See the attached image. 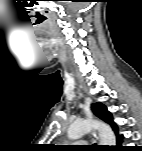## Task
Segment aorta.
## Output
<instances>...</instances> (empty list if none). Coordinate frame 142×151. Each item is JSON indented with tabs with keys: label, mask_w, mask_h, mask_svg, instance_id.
<instances>
[{
	"label": "aorta",
	"mask_w": 142,
	"mask_h": 151,
	"mask_svg": "<svg viewBox=\"0 0 142 151\" xmlns=\"http://www.w3.org/2000/svg\"><path fill=\"white\" fill-rule=\"evenodd\" d=\"M93 129L98 131L101 145H116V138L111 127L91 118L72 123L68 128L67 137L71 140H76Z\"/></svg>",
	"instance_id": "obj_1"
}]
</instances>
